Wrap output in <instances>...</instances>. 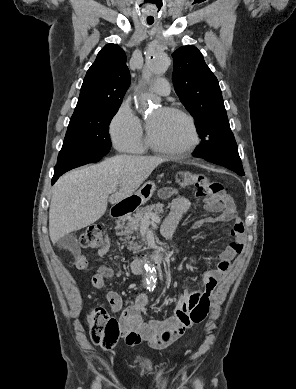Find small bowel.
I'll return each mask as SVG.
<instances>
[{
    "instance_id": "obj_1",
    "label": "small bowel",
    "mask_w": 296,
    "mask_h": 389,
    "mask_svg": "<svg viewBox=\"0 0 296 389\" xmlns=\"http://www.w3.org/2000/svg\"><path fill=\"white\" fill-rule=\"evenodd\" d=\"M176 191L171 188H163L160 196L163 198L175 195ZM211 211H217L214 217L196 221L193 228L197 229L204 223L233 222L229 235L234 239L227 244L217 256V265L215 269L205 272L201 281V288L193 292L181 294L176 302L173 314L164 319H154L146 317L147 295L139 294L132 306L123 310L120 316L121 334L128 345H137L143 341L156 350H161L176 340H178L187 329L191 328L195 322L192 321V314L195 312L208 313L211 296L219 281L224 279L230 270L231 260L242 252L245 242L244 225L242 219L237 215L232 201L225 197L224 201L217 206H206ZM191 210V202L183 197L176 196L171 204V210L166 217L162 234L164 237H170L175 231L179 218L188 214ZM106 253V248L99 251L100 255ZM196 262L192 259V263ZM75 266L78 270H86L88 267L87 259L84 255H79L75 259ZM112 271L104 266L98 268L92 276L91 284L95 289L105 290L106 299L113 312L121 310L123 301L121 295L109 289L107 278L111 276Z\"/></svg>"
}]
</instances>
